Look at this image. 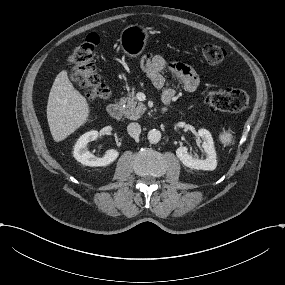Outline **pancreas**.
Wrapping results in <instances>:
<instances>
[{"label": "pancreas", "instance_id": "obj_1", "mask_svg": "<svg viewBox=\"0 0 285 285\" xmlns=\"http://www.w3.org/2000/svg\"><path fill=\"white\" fill-rule=\"evenodd\" d=\"M120 100L126 102V106L123 110V113L125 117L130 120L139 119L146 110V106L142 102L137 101L134 90L128 93L126 98L123 97Z\"/></svg>", "mask_w": 285, "mask_h": 285}]
</instances>
